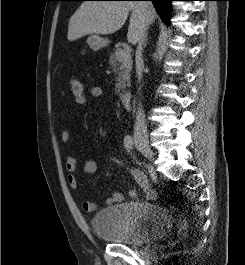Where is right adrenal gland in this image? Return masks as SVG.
<instances>
[{
  "label": "right adrenal gland",
  "instance_id": "2a0ac1e0",
  "mask_svg": "<svg viewBox=\"0 0 245 265\" xmlns=\"http://www.w3.org/2000/svg\"><path fill=\"white\" fill-rule=\"evenodd\" d=\"M146 45H147V37H146V39H145V47H146Z\"/></svg>",
  "mask_w": 245,
  "mask_h": 265
}]
</instances>
